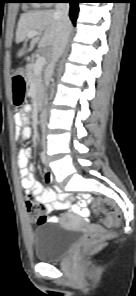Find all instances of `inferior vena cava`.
<instances>
[{"label": "inferior vena cava", "instance_id": "inferior-vena-cava-1", "mask_svg": "<svg viewBox=\"0 0 136 296\" xmlns=\"http://www.w3.org/2000/svg\"><path fill=\"white\" fill-rule=\"evenodd\" d=\"M55 15L60 20V30L59 35L57 38L56 43L53 46V52H52V58L48 66L45 70V85L48 87L51 77L54 72V68L56 65V62L60 58V56L63 54L65 47L67 45L70 31H71V22L69 19V3H57L56 4V10ZM45 106L48 104V98L46 96L44 101ZM40 123L43 133V146L46 145L45 143V131L47 126V111L46 108L43 109L40 115Z\"/></svg>", "mask_w": 136, "mask_h": 296}]
</instances>
